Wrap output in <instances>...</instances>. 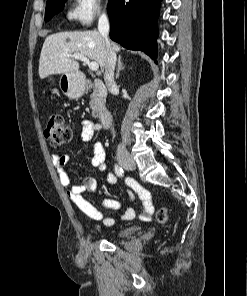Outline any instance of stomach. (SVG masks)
I'll list each match as a JSON object with an SVG mask.
<instances>
[{
    "label": "stomach",
    "instance_id": "1",
    "mask_svg": "<svg viewBox=\"0 0 247 296\" xmlns=\"http://www.w3.org/2000/svg\"><path fill=\"white\" fill-rule=\"evenodd\" d=\"M47 81L53 83L54 78L52 76L47 77ZM60 88L65 95L70 98H78L82 96L84 87L76 73H66L60 77Z\"/></svg>",
    "mask_w": 247,
    "mask_h": 296
}]
</instances>
